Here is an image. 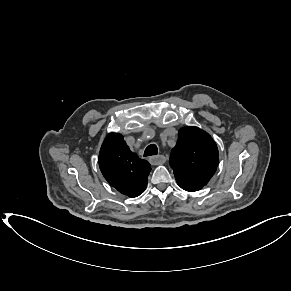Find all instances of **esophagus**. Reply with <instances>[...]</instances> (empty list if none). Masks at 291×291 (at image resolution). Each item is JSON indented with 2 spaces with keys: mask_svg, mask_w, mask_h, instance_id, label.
I'll return each mask as SVG.
<instances>
[{
  "mask_svg": "<svg viewBox=\"0 0 291 291\" xmlns=\"http://www.w3.org/2000/svg\"><path fill=\"white\" fill-rule=\"evenodd\" d=\"M149 162L152 165H160L166 162V157L164 155L151 156Z\"/></svg>",
  "mask_w": 291,
  "mask_h": 291,
  "instance_id": "esophagus-1",
  "label": "esophagus"
}]
</instances>
